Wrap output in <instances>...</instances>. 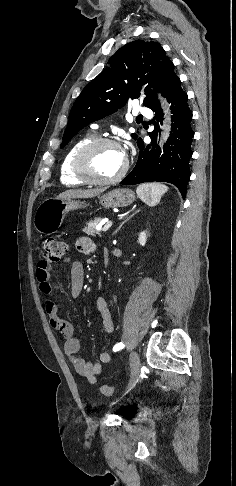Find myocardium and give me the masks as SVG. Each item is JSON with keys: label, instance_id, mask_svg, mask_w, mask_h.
<instances>
[{"label": "myocardium", "instance_id": "1", "mask_svg": "<svg viewBox=\"0 0 236 486\" xmlns=\"http://www.w3.org/2000/svg\"><path fill=\"white\" fill-rule=\"evenodd\" d=\"M103 145H111L119 148L124 153L122 146L114 139L106 137L93 138L85 143L75 154L72 164V169L75 176L86 184L94 185H110L119 182L126 175L129 162L124 153V165L121 171L111 178H99L95 176L89 168V157L91 153L98 147Z\"/></svg>", "mask_w": 236, "mask_h": 486}]
</instances>
